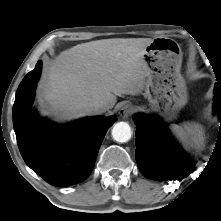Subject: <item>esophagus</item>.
Returning a JSON list of instances; mask_svg holds the SVG:
<instances>
[{"label":"esophagus","instance_id":"obj_1","mask_svg":"<svg viewBox=\"0 0 221 221\" xmlns=\"http://www.w3.org/2000/svg\"><path fill=\"white\" fill-rule=\"evenodd\" d=\"M133 111H134L133 106L127 104V105H124L120 108L119 115L122 118H126V117L130 116L133 113Z\"/></svg>","mask_w":221,"mask_h":221}]
</instances>
